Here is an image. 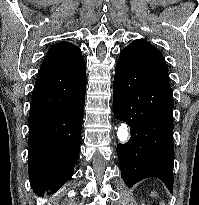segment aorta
Listing matches in <instances>:
<instances>
[{
    "label": "aorta",
    "mask_w": 199,
    "mask_h": 205,
    "mask_svg": "<svg viewBox=\"0 0 199 205\" xmlns=\"http://www.w3.org/2000/svg\"><path fill=\"white\" fill-rule=\"evenodd\" d=\"M117 137L119 142L121 143H126L129 139V132H128V127L126 124L122 123L117 131Z\"/></svg>",
    "instance_id": "obj_1"
}]
</instances>
